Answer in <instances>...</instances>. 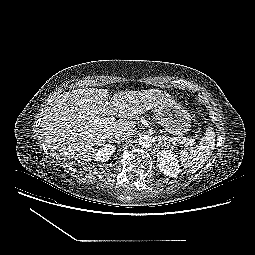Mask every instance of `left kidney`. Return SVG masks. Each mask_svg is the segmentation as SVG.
<instances>
[{"mask_svg":"<svg viewBox=\"0 0 255 255\" xmlns=\"http://www.w3.org/2000/svg\"><path fill=\"white\" fill-rule=\"evenodd\" d=\"M178 162L176 155L171 150H162L157 154L158 167L166 176H178L181 171Z\"/></svg>","mask_w":255,"mask_h":255,"instance_id":"left-kidney-1","label":"left kidney"}]
</instances>
